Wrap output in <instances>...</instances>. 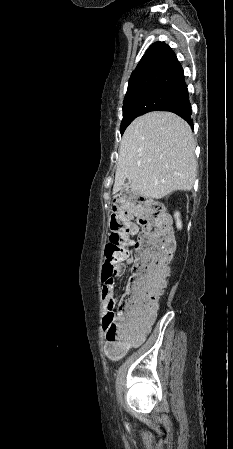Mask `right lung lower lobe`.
Instances as JSON below:
<instances>
[{
  "label": "right lung lower lobe",
  "instance_id": "obj_1",
  "mask_svg": "<svg viewBox=\"0 0 233 449\" xmlns=\"http://www.w3.org/2000/svg\"><path fill=\"white\" fill-rule=\"evenodd\" d=\"M184 92L183 98L178 101L168 103L159 110L173 112L183 119H185L189 125L193 128V120L191 119V105L188 98L187 86L182 90Z\"/></svg>",
  "mask_w": 233,
  "mask_h": 449
}]
</instances>
